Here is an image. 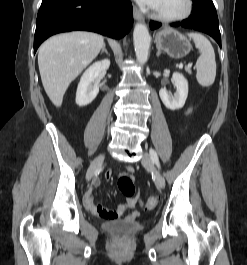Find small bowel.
<instances>
[{"instance_id": "obj_1", "label": "small bowel", "mask_w": 247, "mask_h": 265, "mask_svg": "<svg viewBox=\"0 0 247 265\" xmlns=\"http://www.w3.org/2000/svg\"><path fill=\"white\" fill-rule=\"evenodd\" d=\"M192 111V107H188L185 111L186 114H189ZM127 172H133L132 166H127ZM111 177V171L105 172V178L109 179ZM99 184L98 180L94 181V186ZM83 204L85 208L91 212L92 214L99 216L103 219L107 220H115L121 217L126 211L133 210L129 215L130 218H135L138 216V212L134 210L137 206L142 204V201L139 198H129L126 203L120 205L116 209H107L101 203H96L94 201V196L92 192V188H90L83 197Z\"/></svg>"}]
</instances>
